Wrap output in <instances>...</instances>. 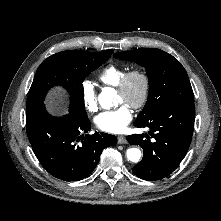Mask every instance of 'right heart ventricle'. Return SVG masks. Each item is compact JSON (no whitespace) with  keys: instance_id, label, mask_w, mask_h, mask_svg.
<instances>
[{"instance_id":"e07e8e85","label":"right heart ventricle","mask_w":221,"mask_h":221,"mask_svg":"<svg viewBox=\"0 0 221 221\" xmlns=\"http://www.w3.org/2000/svg\"><path fill=\"white\" fill-rule=\"evenodd\" d=\"M127 73L125 67L110 64L99 75V80L108 86L117 87L123 76Z\"/></svg>"}]
</instances>
